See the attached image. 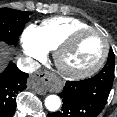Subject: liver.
I'll return each instance as SVG.
<instances>
[{
	"label": "liver",
	"mask_w": 117,
	"mask_h": 117,
	"mask_svg": "<svg viewBox=\"0 0 117 117\" xmlns=\"http://www.w3.org/2000/svg\"><path fill=\"white\" fill-rule=\"evenodd\" d=\"M4 52L3 50L0 48V65L2 64V62L4 61L3 58H4Z\"/></svg>",
	"instance_id": "liver-1"
}]
</instances>
